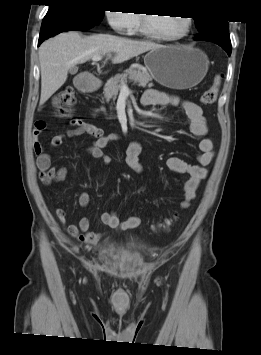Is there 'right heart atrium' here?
I'll return each instance as SVG.
<instances>
[{
	"instance_id": "right-heart-atrium-1",
	"label": "right heart atrium",
	"mask_w": 261,
	"mask_h": 355,
	"mask_svg": "<svg viewBox=\"0 0 261 355\" xmlns=\"http://www.w3.org/2000/svg\"><path fill=\"white\" fill-rule=\"evenodd\" d=\"M106 18L111 27L121 34L132 33L138 22L136 13L127 9L122 11H108Z\"/></svg>"
}]
</instances>
